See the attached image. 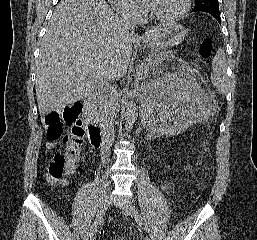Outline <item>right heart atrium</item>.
<instances>
[{
	"instance_id": "1",
	"label": "right heart atrium",
	"mask_w": 257,
	"mask_h": 240,
	"mask_svg": "<svg viewBox=\"0 0 257 240\" xmlns=\"http://www.w3.org/2000/svg\"><path fill=\"white\" fill-rule=\"evenodd\" d=\"M114 9L127 19L139 23L144 19L145 9L139 0H110Z\"/></svg>"
}]
</instances>
